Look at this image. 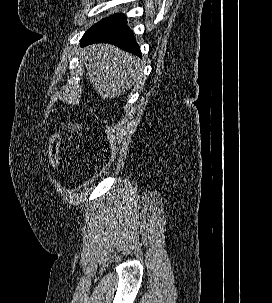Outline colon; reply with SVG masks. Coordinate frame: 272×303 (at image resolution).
<instances>
[{
	"instance_id": "1",
	"label": "colon",
	"mask_w": 272,
	"mask_h": 303,
	"mask_svg": "<svg viewBox=\"0 0 272 303\" xmlns=\"http://www.w3.org/2000/svg\"><path fill=\"white\" fill-rule=\"evenodd\" d=\"M59 146L60 141L58 136L52 135L48 144V163L53 170H56L60 163Z\"/></svg>"
}]
</instances>
